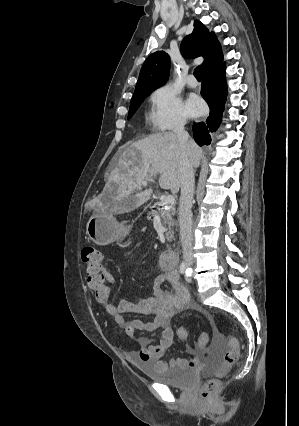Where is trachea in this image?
I'll return each instance as SVG.
<instances>
[{
  "label": "trachea",
  "instance_id": "1",
  "mask_svg": "<svg viewBox=\"0 0 299 426\" xmlns=\"http://www.w3.org/2000/svg\"><path fill=\"white\" fill-rule=\"evenodd\" d=\"M194 75H195V77L197 78V80H202V69H201V67H200V66H197V67L194 69Z\"/></svg>",
  "mask_w": 299,
  "mask_h": 426
}]
</instances>
